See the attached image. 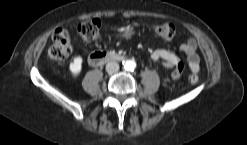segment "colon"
Here are the masks:
<instances>
[{"mask_svg": "<svg viewBox=\"0 0 247 145\" xmlns=\"http://www.w3.org/2000/svg\"><path fill=\"white\" fill-rule=\"evenodd\" d=\"M101 22L97 18H90L83 21L78 31L82 38L88 41L96 40L99 37ZM156 35L163 39H171L175 35V26L171 22H163L156 24L153 27ZM73 50L71 39L67 30L63 28L57 29L52 36V44L49 48L48 55L53 61H62L67 58ZM184 65L182 62H178L175 65V69L172 73L174 78L181 77L183 73ZM190 84L194 85L198 83L199 76L197 74H191L188 77Z\"/></svg>", "mask_w": 247, "mask_h": 145, "instance_id": "5ec220e1", "label": "colon"}]
</instances>
